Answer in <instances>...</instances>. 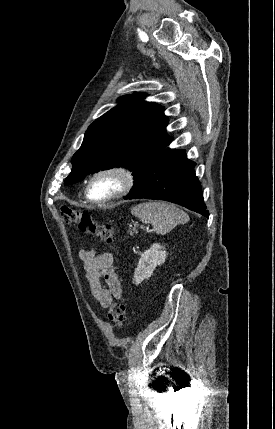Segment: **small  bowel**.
I'll return each mask as SVG.
<instances>
[{
    "mask_svg": "<svg viewBox=\"0 0 275 429\" xmlns=\"http://www.w3.org/2000/svg\"><path fill=\"white\" fill-rule=\"evenodd\" d=\"M86 279L95 301L103 308L111 305L122 295L121 283L109 253L98 254L94 250L81 251Z\"/></svg>",
    "mask_w": 275,
    "mask_h": 429,
    "instance_id": "small-bowel-1",
    "label": "small bowel"
}]
</instances>
